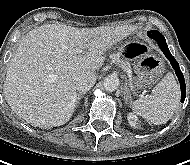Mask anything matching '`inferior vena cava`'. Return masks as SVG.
Instances as JSON below:
<instances>
[{"label":"inferior vena cava","mask_w":190,"mask_h":165,"mask_svg":"<svg viewBox=\"0 0 190 165\" xmlns=\"http://www.w3.org/2000/svg\"><path fill=\"white\" fill-rule=\"evenodd\" d=\"M96 83V75L94 72H85L79 75L76 80V89L80 92H87Z\"/></svg>","instance_id":"1"}]
</instances>
